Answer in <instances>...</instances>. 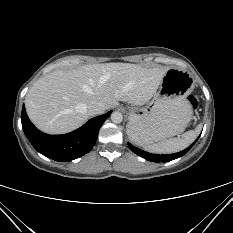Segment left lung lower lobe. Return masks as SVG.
Wrapping results in <instances>:
<instances>
[{"label":"left lung lower lobe","mask_w":233,"mask_h":233,"mask_svg":"<svg viewBox=\"0 0 233 233\" xmlns=\"http://www.w3.org/2000/svg\"><path fill=\"white\" fill-rule=\"evenodd\" d=\"M195 142L193 144H191L188 148H186L185 150H183L181 152L174 153V154H167V155H159V154L148 153L146 151H143V150L133 146L130 143L128 144V146L134 153H136L138 156H140L142 158H145L148 161L167 162V161L177 159V158L183 156L184 154H186L192 148V146L195 144Z\"/></svg>","instance_id":"1"}]
</instances>
